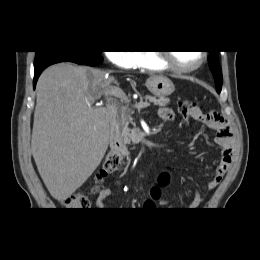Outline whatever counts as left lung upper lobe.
Wrapping results in <instances>:
<instances>
[{"instance_id":"1","label":"left lung upper lobe","mask_w":260,"mask_h":260,"mask_svg":"<svg viewBox=\"0 0 260 260\" xmlns=\"http://www.w3.org/2000/svg\"><path fill=\"white\" fill-rule=\"evenodd\" d=\"M208 63L211 71L213 72L215 82H216V90L220 93L222 88V70L219 65L218 59V51H209Z\"/></svg>"}]
</instances>
